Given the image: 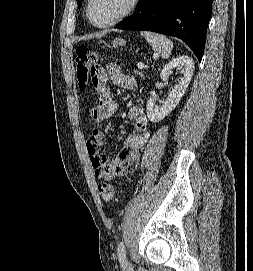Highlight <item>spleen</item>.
<instances>
[{
  "instance_id": "spleen-1",
  "label": "spleen",
  "mask_w": 253,
  "mask_h": 271,
  "mask_svg": "<svg viewBox=\"0 0 253 271\" xmlns=\"http://www.w3.org/2000/svg\"><path fill=\"white\" fill-rule=\"evenodd\" d=\"M141 35L152 46L154 52L160 54L162 58H169L173 49V42L166 36L150 32L141 31Z\"/></svg>"
}]
</instances>
